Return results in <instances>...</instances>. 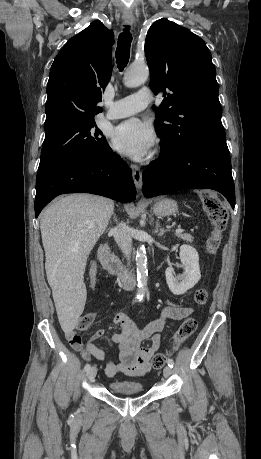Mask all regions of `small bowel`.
<instances>
[{"instance_id": "c3829d8e", "label": "small bowel", "mask_w": 261, "mask_h": 459, "mask_svg": "<svg viewBox=\"0 0 261 459\" xmlns=\"http://www.w3.org/2000/svg\"><path fill=\"white\" fill-rule=\"evenodd\" d=\"M90 289L95 285L96 267L93 266L89 273ZM192 313V309L168 301L161 314L156 319L139 326L135 324L125 313H117L113 323L119 327V332L111 335L112 342L119 345V362L108 360L105 373L108 377H114L118 373L129 376H143L150 370V360L159 349L162 341L161 332L165 328L166 321L182 320ZM105 333L99 329L91 336V341L84 345L81 337L71 330L67 333V339L72 347L81 352L85 360H105V352L95 344Z\"/></svg>"}]
</instances>
